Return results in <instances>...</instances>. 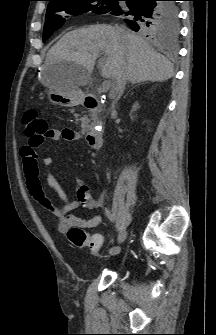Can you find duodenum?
Masks as SVG:
<instances>
[{
  "label": "duodenum",
  "instance_id": "1",
  "mask_svg": "<svg viewBox=\"0 0 216 335\" xmlns=\"http://www.w3.org/2000/svg\"><path fill=\"white\" fill-rule=\"evenodd\" d=\"M84 105L94 111H99L102 108L101 102L92 96L86 97ZM101 122H97L88 132H87V142L93 149H100L102 144V134H101Z\"/></svg>",
  "mask_w": 216,
  "mask_h": 335
}]
</instances>
